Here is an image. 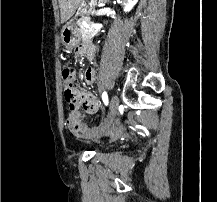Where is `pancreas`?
Here are the masks:
<instances>
[{
	"instance_id": "pancreas-1",
	"label": "pancreas",
	"mask_w": 217,
	"mask_h": 202,
	"mask_svg": "<svg viewBox=\"0 0 217 202\" xmlns=\"http://www.w3.org/2000/svg\"><path fill=\"white\" fill-rule=\"evenodd\" d=\"M84 22H87V20H89V18H83ZM79 28V32L80 34H83V37L82 39L83 40H87V38H90V35H95V30H88V28H84V26H82V22L81 20H78L77 22Z\"/></svg>"
}]
</instances>
